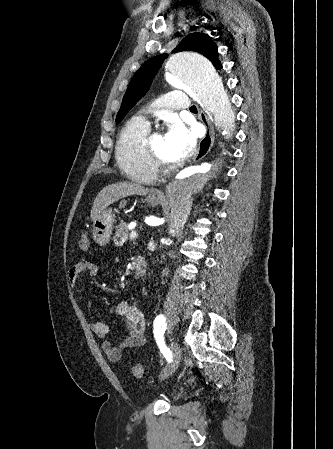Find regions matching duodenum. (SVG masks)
Instances as JSON below:
<instances>
[{"label":"duodenum","mask_w":333,"mask_h":449,"mask_svg":"<svg viewBox=\"0 0 333 449\" xmlns=\"http://www.w3.org/2000/svg\"><path fill=\"white\" fill-rule=\"evenodd\" d=\"M146 260L143 256H136L133 261L134 272L138 276H142L146 273Z\"/></svg>","instance_id":"duodenum-1"}]
</instances>
